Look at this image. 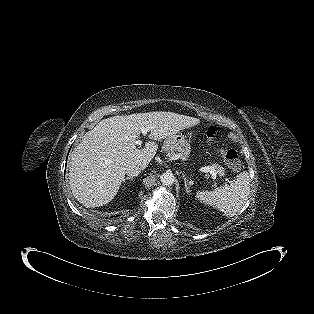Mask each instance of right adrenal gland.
Segmentation results:
<instances>
[{
    "label": "right adrenal gland",
    "instance_id": "right-adrenal-gland-1",
    "mask_svg": "<svg viewBox=\"0 0 314 314\" xmlns=\"http://www.w3.org/2000/svg\"><path fill=\"white\" fill-rule=\"evenodd\" d=\"M133 177H126L124 180H123V183H126L127 180H132Z\"/></svg>",
    "mask_w": 314,
    "mask_h": 314
}]
</instances>
